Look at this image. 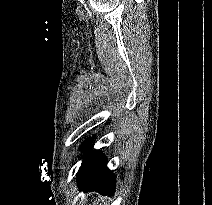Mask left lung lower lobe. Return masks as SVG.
<instances>
[{
  "label": "left lung lower lobe",
  "instance_id": "obj_1",
  "mask_svg": "<svg viewBox=\"0 0 212 205\" xmlns=\"http://www.w3.org/2000/svg\"><path fill=\"white\" fill-rule=\"evenodd\" d=\"M91 142L92 139H87L82 144L87 153L78 172L79 190L111 195L115 190L114 176L106 167L105 155L100 150H92V146H88Z\"/></svg>",
  "mask_w": 212,
  "mask_h": 205
}]
</instances>
